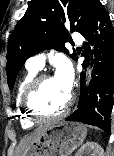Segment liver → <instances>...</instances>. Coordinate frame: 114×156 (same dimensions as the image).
Instances as JSON below:
<instances>
[{
    "instance_id": "6515ba94",
    "label": "liver",
    "mask_w": 114,
    "mask_h": 156,
    "mask_svg": "<svg viewBox=\"0 0 114 156\" xmlns=\"http://www.w3.org/2000/svg\"><path fill=\"white\" fill-rule=\"evenodd\" d=\"M49 127V125L40 126L31 134L21 139L16 148V156H25L31 144Z\"/></svg>"
}]
</instances>
